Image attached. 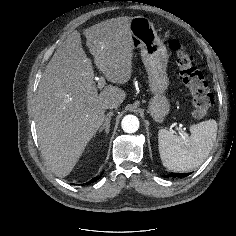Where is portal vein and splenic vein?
Listing matches in <instances>:
<instances>
[{
  "mask_svg": "<svg viewBox=\"0 0 236 236\" xmlns=\"http://www.w3.org/2000/svg\"><path fill=\"white\" fill-rule=\"evenodd\" d=\"M96 80L98 81V88L101 89L105 84L104 77L101 76L99 78H96ZM177 129L181 132L183 136H187V134L184 131H182L181 126H179Z\"/></svg>",
  "mask_w": 236,
  "mask_h": 236,
  "instance_id": "portal-vein-and-splenic-vein-1",
  "label": "portal vein and splenic vein"
}]
</instances>
